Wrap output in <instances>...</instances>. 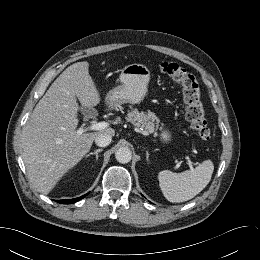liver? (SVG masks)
Segmentation results:
<instances>
[{
  "label": "liver",
  "instance_id": "obj_1",
  "mask_svg": "<svg viewBox=\"0 0 260 260\" xmlns=\"http://www.w3.org/2000/svg\"><path fill=\"white\" fill-rule=\"evenodd\" d=\"M77 100L88 109L100 103L87 61L74 63L59 75L35 106L22 130L27 174L31 184L43 194H48L89 152L99 134L115 135L112 128L78 134Z\"/></svg>",
  "mask_w": 260,
  "mask_h": 260
}]
</instances>
